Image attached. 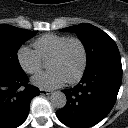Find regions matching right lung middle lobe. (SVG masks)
<instances>
[{"instance_id": "dd1d6c3e", "label": "right lung middle lobe", "mask_w": 128, "mask_h": 128, "mask_svg": "<svg viewBox=\"0 0 128 128\" xmlns=\"http://www.w3.org/2000/svg\"><path fill=\"white\" fill-rule=\"evenodd\" d=\"M36 33L37 31L0 24V72L15 74L23 71L17 52L21 45Z\"/></svg>"}]
</instances>
